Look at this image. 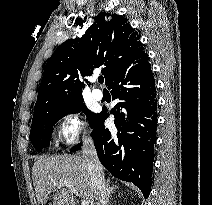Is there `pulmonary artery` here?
I'll use <instances>...</instances> for the list:
<instances>
[{"mask_svg":"<svg viewBox=\"0 0 212 205\" xmlns=\"http://www.w3.org/2000/svg\"><path fill=\"white\" fill-rule=\"evenodd\" d=\"M92 96L95 100H102L103 99V92L100 89H93Z\"/></svg>","mask_w":212,"mask_h":205,"instance_id":"pulmonary-artery-1","label":"pulmonary artery"}]
</instances>
